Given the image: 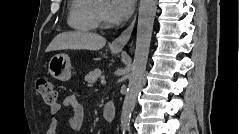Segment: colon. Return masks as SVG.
<instances>
[{
    "label": "colon",
    "instance_id": "1",
    "mask_svg": "<svg viewBox=\"0 0 239 134\" xmlns=\"http://www.w3.org/2000/svg\"><path fill=\"white\" fill-rule=\"evenodd\" d=\"M36 89L46 104H55L56 93L52 83L48 79L40 78L37 81Z\"/></svg>",
    "mask_w": 239,
    "mask_h": 134
}]
</instances>
